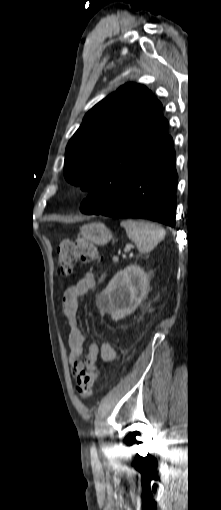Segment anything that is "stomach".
<instances>
[{"label": "stomach", "instance_id": "stomach-1", "mask_svg": "<svg viewBox=\"0 0 221 510\" xmlns=\"http://www.w3.org/2000/svg\"><path fill=\"white\" fill-rule=\"evenodd\" d=\"M80 235L96 245H105L112 239L111 231L103 223H90L80 228Z\"/></svg>", "mask_w": 221, "mask_h": 510}]
</instances>
